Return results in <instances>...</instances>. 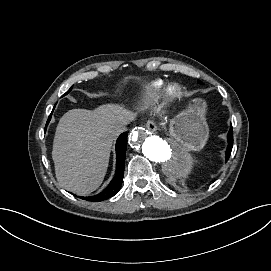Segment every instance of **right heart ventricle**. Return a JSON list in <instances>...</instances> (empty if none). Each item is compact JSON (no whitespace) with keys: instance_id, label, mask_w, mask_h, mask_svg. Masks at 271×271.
Instances as JSON below:
<instances>
[{"instance_id":"1","label":"right heart ventricle","mask_w":271,"mask_h":271,"mask_svg":"<svg viewBox=\"0 0 271 271\" xmlns=\"http://www.w3.org/2000/svg\"><path fill=\"white\" fill-rule=\"evenodd\" d=\"M167 81L156 79L143 85V91L146 99L157 98L162 95L167 88Z\"/></svg>"}]
</instances>
